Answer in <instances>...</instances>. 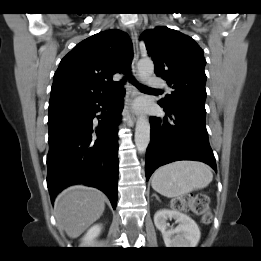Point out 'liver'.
Instances as JSON below:
<instances>
[{"label": "liver", "instance_id": "1", "mask_svg": "<svg viewBox=\"0 0 261 261\" xmlns=\"http://www.w3.org/2000/svg\"><path fill=\"white\" fill-rule=\"evenodd\" d=\"M105 209V195L82 185L64 190L55 201V217L70 238L79 237L100 218Z\"/></svg>", "mask_w": 261, "mask_h": 261}]
</instances>
